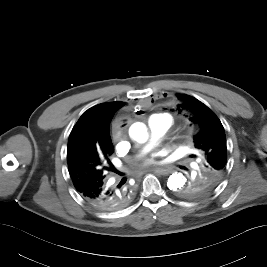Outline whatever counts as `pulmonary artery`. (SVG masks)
<instances>
[{
    "instance_id": "e3ab8cb5",
    "label": "pulmonary artery",
    "mask_w": 267,
    "mask_h": 267,
    "mask_svg": "<svg viewBox=\"0 0 267 267\" xmlns=\"http://www.w3.org/2000/svg\"><path fill=\"white\" fill-rule=\"evenodd\" d=\"M171 118L167 114H158L150 118L148 122L150 141L147 148L151 147L158 139L163 137L169 130Z\"/></svg>"
}]
</instances>
